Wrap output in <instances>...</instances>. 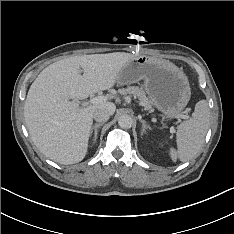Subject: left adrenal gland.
<instances>
[{
	"instance_id": "a2214340",
	"label": "left adrenal gland",
	"mask_w": 234,
	"mask_h": 234,
	"mask_svg": "<svg viewBox=\"0 0 234 234\" xmlns=\"http://www.w3.org/2000/svg\"><path fill=\"white\" fill-rule=\"evenodd\" d=\"M142 123V131L141 135H143L146 132V129H151V127L144 121V120H139Z\"/></svg>"
}]
</instances>
